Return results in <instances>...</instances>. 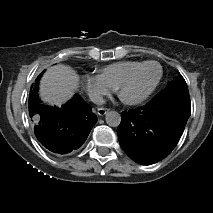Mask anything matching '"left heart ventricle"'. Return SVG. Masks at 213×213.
I'll use <instances>...</instances> for the list:
<instances>
[{
  "instance_id": "obj_1",
  "label": "left heart ventricle",
  "mask_w": 213,
  "mask_h": 213,
  "mask_svg": "<svg viewBox=\"0 0 213 213\" xmlns=\"http://www.w3.org/2000/svg\"><path fill=\"white\" fill-rule=\"evenodd\" d=\"M158 77V68L153 64L142 67L133 79L124 87L126 99H137L145 95L154 85Z\"/></svg>"
}]
</instances>
